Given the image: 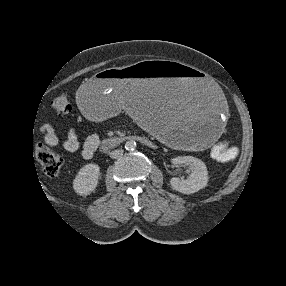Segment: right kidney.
Wrapping results in <instances>:
<instances>
[{"label": "right kidney", "mask_w": 286, "mask_h": 286, "mask_svg": "<svg viewBox=\"0 0 286 286\" xmlns=\"http://www.w3.org/2000/svg\"><path fill=\"white\" fill-rule=\"evenodd\" d=\"M100 175V168L97 164L89 163L84 165L73 181V188L79 195H89L97 185Z\"/></svg>", "instance_id": "right-kidney-1"}]
</instances>
